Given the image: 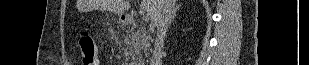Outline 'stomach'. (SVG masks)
Instances as JSON below:
<instances>
[{
    "label": "stomach",
    "mask_w": 309,
    "mask_h": 65,
    "mask_svg": "<svg viewBox=\"0 0 309 65\" xmlns=\"http://www.w3.org/2000/svg\"><path fill=\"white\" fill-rule=\"evenodd\" d=\"M119 20L122 21L121 16L119 17Z\"/></svg>",
    "instance_id": "1"
}]
</instances>
